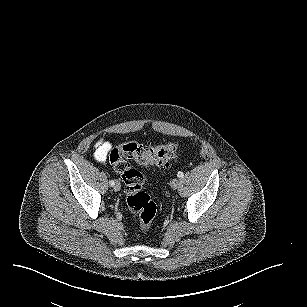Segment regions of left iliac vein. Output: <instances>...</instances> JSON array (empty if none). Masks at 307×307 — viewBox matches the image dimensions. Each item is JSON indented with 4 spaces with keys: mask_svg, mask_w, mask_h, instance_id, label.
Masks as SVG:
<instances>
[{
    "mask_svg": "<svg viewBox=\"0 0 307 307\" xmlns=\"http://www.w3.org/2000/svg\"><path fill=\"white\" fill-rule=\"evenodd\" d=\"M179 185H180V180L179 179L174 178L171 181V188L172 189H174V190L178 189Z\"/></svg>",
    "mask_w": 307,
    "mask_h": 307,
    "instance_id": "4c4485c4",
    "label": "left iliac vein"
}]
</instances>
